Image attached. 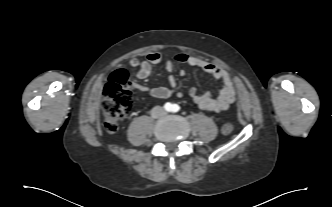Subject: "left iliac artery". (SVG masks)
<instances>
[{"mask_svg":"<svg viewBox=\"0 0 332 207\" xmlns=\"http://www.w3.org/2000/svg\"><path fill=\"white\" fill-rule=\"evenodd\" d=\"M180 110V106L178 104H173L171 107L172 112H178Z\"/></svg>","mask_w":332,"mask_h":207,"instance_id":"left-iliac-artery-1","label":"left iliac artery"}]
</instances>
